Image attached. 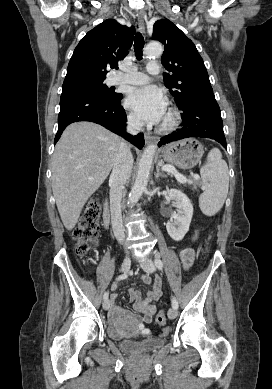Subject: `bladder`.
Instances as JSON below:
<instances>
[{"label": "bladder", "instance_id": "1", "mask_svg": "<svg viewBox=\"0 0 272 389\" xmlns=\"http://www.w3.org/2000/svg\"><path fill=\"white\" fill-rule=\"evenodd\" d=\"M108 335L116 341L120 349L133 355L151 353L165 344V339L163 338H150L141 341L118 339L112 328H108Z\"/></svg>", "mask_w": 272, "mask_h": 389}]
</instances>
